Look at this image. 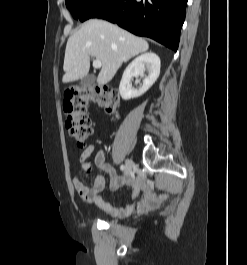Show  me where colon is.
I'll return each mask as SVG.
<instances>
[{
    "label": "colon",
    "mask_w": 247,
    "mask_h": 265,
    "mask_svg": "<svg viewBox=\"0 0 247 265\" xmlns=\"http://www.w3.org/2000/svg\"><path fill=\"white\" fill-rule=\"evenodd\" d=\"M95 103L110 114H116L119 104L117 91L108 87L89 86L68 90L63 109L66 113V128L79 147H84L92 134V123L88 117V103Z\"/></svg>",
    "instance_id": "obj_1"
}]
</instances>
